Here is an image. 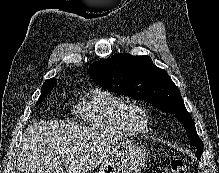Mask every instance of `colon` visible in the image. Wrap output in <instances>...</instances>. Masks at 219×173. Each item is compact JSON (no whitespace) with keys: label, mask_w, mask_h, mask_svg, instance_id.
<instances>
[{"label":"colon","mask_w":219,"mask_h":173,"mask_svg":"<svg viewBox=\"0 0 219 173\" xmlns=\"http://www.w3.org/2000/svg\"><path fill=\"white\" fill-rule=\"evenodd\" d=\"M188 165L182 158H173L168 162L169 173H188Z\"/></svg>","instance_id":"5ec220e1"}]
</instances>
